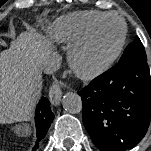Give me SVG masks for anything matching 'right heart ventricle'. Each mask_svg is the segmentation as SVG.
<instances>
[{"mask_svg":"<svg viewBox=\"0 0 151 151\" xmlns=\"http://www.w3.org/2000/svg\"><path fill=\"white\" fill-rule=\"evenodd\" d=\"M106 12L98 10H86L68 14L60 18L54 27L56 37L62 39H81L92 24Z\"/></svg>","mask_w":151,"mask_h":151,"instance_id":"right-heart-ventricle-1","label":"right heart ventricle"}]
</instances>
